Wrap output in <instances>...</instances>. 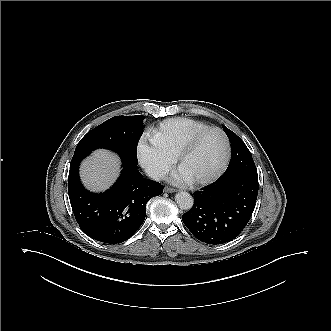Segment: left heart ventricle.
Masks as SVG:
<instances>
[{
  "instance_id": "1",
  "label": "left heart ventricle",
  "mask_w": 331,
  "mask_h": 331,
  "mask_svg": "<svg viewBox=\"0 0 331 331\" xmlns=\"http://www.w3.org/2000/svg\"><path fill=\"white\" fill-rule=\"evenodd\" d=\"M223 157L222 137L218 133H209L185 155L180 169L192 180L207 178L218 170Z\"/></svg>"
}]
</instances>
